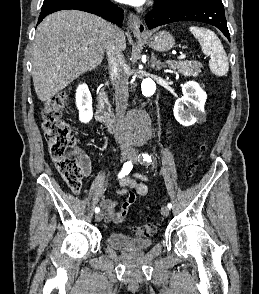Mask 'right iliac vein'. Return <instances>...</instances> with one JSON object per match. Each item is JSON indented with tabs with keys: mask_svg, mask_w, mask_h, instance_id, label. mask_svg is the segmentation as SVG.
Returning a JSON list of instances; mask_svg holds the SVG:
<instances>
[{
	"mask_svg": "<svg viewBox=\"0 0 259 294\" xmlns=\"http://www.w3.org/2000/svg\"><path fill=\"white\" fill-rule=\"evenodd\" d=\"M131 155V150L129 148H122L121 149V159L124 161L126 158H128ZM104 217L103 212H99L95 216V220L97 222H100Z\"/></svg>",
	"mask_w": 259,
	"mask_h": 294,
	"instance_id": "63e3f726",
	"label": "right iliac vein"
}]
</instances>
